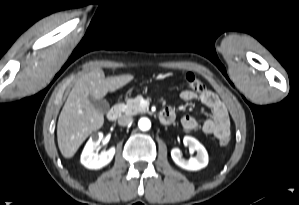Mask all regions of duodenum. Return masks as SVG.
<instances>
[{
    "label": "duodenum",
    "instance_id": "410a0bca",
    "mask_svg": "<svg viewBox=\"0 0 299 205\" xmlns=\"http://www.w3.org/2000/svg\"><path fill=\"white\" fill-rule=\"evenodd\" d=\"M120 114V108L119 106H113L108 114H107V118L110 120V121H114L118 118ZM160 120L162 123H165V124H169L173 121V116L170 114V113H167V112H161L160 114Z\"/></svg>",
    "mask_w": 299,
    "mask_h": 205
}]
</instances>
